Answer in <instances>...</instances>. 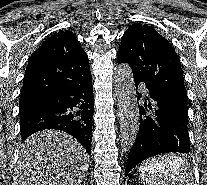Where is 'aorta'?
I'll list each match as a JSON object with an SVG mask.
<instances>
[{
	"label": "aorta",
	"instance_id": "1",
	"mask_svg": "<svg viewBox=\"0 0 207 185\" xmlns=\"http://www.w3.org/2000/svg\"><path fill=\"white\" fill-rule=\"evenodd\" d=\"M115 93L120 113V145L122 153H129L139 130V110L133 73L128 64L122 63L114 75Z\"/></svg>",
	"mask_w": 207,
	"mask_h": 185
}]
</instances>
